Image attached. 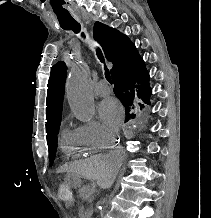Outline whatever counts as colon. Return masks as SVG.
<instances>
[{
	"label": "colon",
	"instance_id": "obj_1",
	"mask_svg": "<svg viewBox=\"0 0 211 218\" xmlns=\"http://www.w3.org/2000/svg\"><path fill=\"white\" fill-rule=\"evenodd\" d=\"M58 195L61 200L67 202L72 199V192L71 189L68 185L66 184H61L58 187Z\"/></svg>",
	"mask_w": 211,
	"mask_h": 218
}]
</instances>
